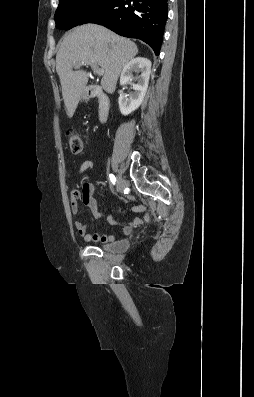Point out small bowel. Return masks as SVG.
<instances>
[{"label":"small bowel","instance_id":"c3829d8e","mask_svg":"<svg viewBox=\"0 0 254 397\" xmlns=\"http://www.w3.org/2000/svg\"><path fill=\"white\" fill-rule=\"evenodd\" d=\"M93 167V163L90 160H84L79 167V174H84L87 171H90ZM84 189L86 193V197L82 198V202L91 210L93 216L96 219L105 218V220L111 225H118V223L114 220L113 216L108 212L106 214H102L98 210L97 201L93 196L94 186L91 183L84 184ZM71 210L73 214H77L78 212V202L75 198V190H72L71 195ZM134 212H145L146 208L142 205L134 206L132 208ZM149 215L146 213L144 216V220H148ZM143 223L142 218H135L131 223L124 224L121 226L122 233L125 235L130 234L133 228L140 226ZM75 228L78 234L83 237L86 242L93 243H109L115 240V236L112 234H100V233H88L87 225L82 221L75 222Z\"/></svg>","mask_w":254,"mask_h":397}]
</instances>
